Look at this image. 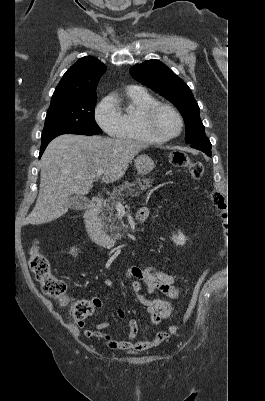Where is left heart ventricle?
Segmentation results:
<instances>
[{
  "label": "left heart ventricle",
  "instance_id": "left-heart-ventricle-1",
  "mask_svg": "<svg viewBox=\"0 0 265 401\" xmlns=\"http://www.w3.org/2000/svg\"><path fill=\"white\" fill-rule=\"evenodd\" d=\"M152 134L158 139H165L178 133L180 124L178 118L165 109L154 113L150 121Z\"/></svg>",
  "mask_w": 265,
  "mask_h": 401
}]
</instances>
